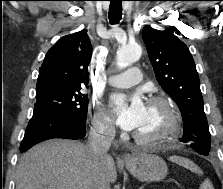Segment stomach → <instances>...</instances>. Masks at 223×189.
<instances>
[{"mask_svg": "<svg viewBox=\"0 0 223 189\" xmlns=\"http://www.w3.org/2000/svg\"><path fill=\"white\" fill-rule=\"evenodd\" d=\"M126 168L138 180L160 181L163 180L168 168L165 161L153 154L139 153L126 161Z\"/></svg>", "mask_w": 223, "mask_h": 189, "instance_id": "stomach-1", "label": "stomach"}]
</instances>
